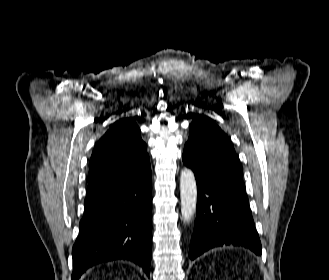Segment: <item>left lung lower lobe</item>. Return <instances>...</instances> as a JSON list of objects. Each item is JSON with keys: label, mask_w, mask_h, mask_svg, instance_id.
<instances>
[{"label": "left lung lower lobe", "mask_w": 329, "mask_h": 280, "mask_svg": "<svg viewBox=\"0 0 329 280\" xmlns=\"http://www.w3.org/2000/svg\"><path fill=\"white\" fill-rule=\"evenodd\" d=\"M197 214L189 257L193 260L216 247H244L261 255L242 170H225L223 184L208 185L196 175ZM228 185V187H227Z\"/></svg>", "instance_id": "obj_1"}]
</instances>
